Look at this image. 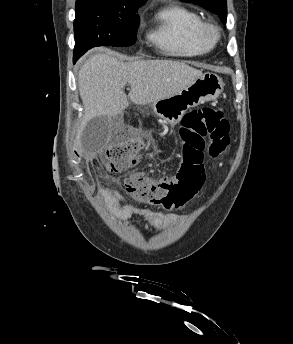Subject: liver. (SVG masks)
I'll return each mask as SVG.
<instances>
[{
	"label": "liver",
	"mask_w": 293,
	"mask_h": 344,
	"mask_svg": "<svg viewBox=\"0 0 293 344\" xmlns=\"http://www.w3.org/2000/svg\"><path fill=\"white\" fill-rule=\"evenodd\" d=\"M201 75L202 71L184 62H121L108 54L93 55L78 75L85 115L75 140V149L82 152V129L89 120L97 116H117L129 106L123 90L126 83L131 86L129 99L134 104L146 105L180 93Z\"/></svg>",
	"instance_id": "1"
}]
</instances>
